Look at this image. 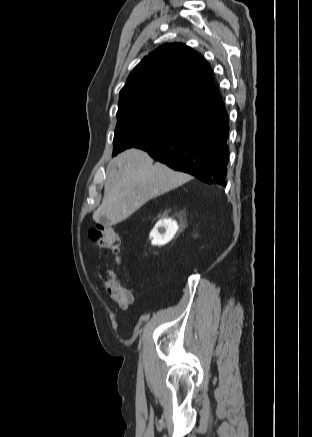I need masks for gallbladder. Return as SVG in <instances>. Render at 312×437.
<instances>
[{
    "label": "gallbladder",
    "instance_id": "obj_1",
    "mask_svg": "<svg viewBox=\"0 0 312 437\" xmlns=\"http://www.w3.org/2000/svg\"><path fill=\"white\" fill-rule=\"evenodd\" d=\"M100 223L101 224H104L105 223V220L102 218V219H100Z\"/></svg>",
    "mask_w": 312,
    "mask_h": 437
}]
</instances>
